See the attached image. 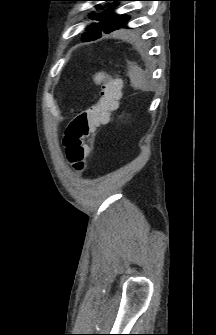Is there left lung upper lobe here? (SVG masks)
<instances>
[{"label": "left lung upper lobe", "mask_w": 216, "mask_h": 335, "mask_svg": "<svg viewBox=\"0 0 216 335\" xmlns=\"http://www.w3.org/2000/svg\"><path fill=\"white\" fill-rule=\"evenodd\" d=\"M112 2L111 4H106L105 11L103 13H92L91 15L97 20L99 23H92L90 26L86 28V32L82 35L83 41H91L95 40L101 36V33H110L114 30H118L120 28H126V24L129 20L127 16L118 15L113 12V8L117 5L119 1H128V0H101ZM97 9H103L104 7L101 5L95 6Z\"/></svg>", "instance_id": "obj_1"}]
</instances>
